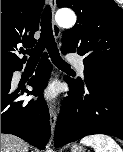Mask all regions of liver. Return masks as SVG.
Wrapping results in <instances>:
<instances>
[{
    "label": "liver",
    "mask_w": 123,
    "mask_h": 152,
    "mask_svg": "<svg viewBox=\"0 0 123 152\" xmlns=\"http://www.w3.org/2000/svg\"><path fill=\"white\" fill-rule=\"evenodd\" d=\"M1 152H28V144L10 134H1Z\"/></svg>",
    "instance_id": "liver-1"
}]
</instances>
